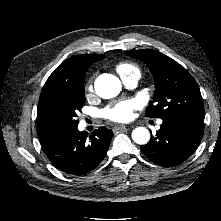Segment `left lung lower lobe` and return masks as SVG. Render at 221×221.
I'll list each match as a JSON object with an SVG mask.
<instances>
[{
  "label": "left lung lower lobe",
  "mask_w": 221,
  "mask_h": 221,
  "mask_svg": "<svg viewBox=\"0 0 221 221\" xmlns=\"http://www.w3.org/2000/svg\"><path fill=\"white\" fill-rule=\"evenodd\" d=\"M204 119L175 117L164 119L156 137L141 146L142 152L154 163L171 167L189 158L200 144Z\"/></svg>",
  "instance_id": "left-lung-lower-lobe-1"
}]
</instances>
